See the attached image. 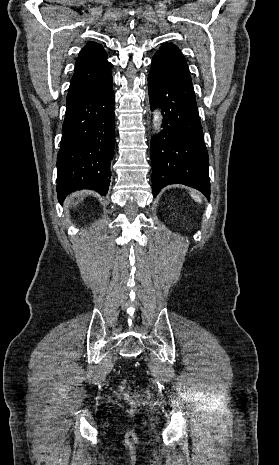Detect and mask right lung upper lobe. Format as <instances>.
Here are the masks:
<instances>
[{"label":"right lung upper lobe","instance_id":"obj_1","mask_svg":"<svg viewBox=\"0 0 279 465\" xmlns=\"http://www.w3.org/2000/svg\"><path fill=\"white\" fill-rule=\"evenodd\" d=\"M102 45L89 42L79 53L67 95V106L89 94L111 73Z\"/></svg>","mask_w":279,"mask_h":465}]
</instances>
